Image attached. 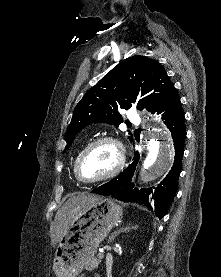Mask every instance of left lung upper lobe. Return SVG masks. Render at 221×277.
I'll return each instance as SVG.
<instances>
[{
  "label": "left lung upper lobe",
  "instance_id": "left-lung-upper-lobe-1",
  "mask_svg": "<svg viewBox=\"0 0 221 277\" xmlns=\"http://www.w3.org/2000/svg\"><path fill=\"white\" fill-rule=\"evenodd\" d=\"M174 89L162 66L153 59L135 55L123 60L86 92L74 109L66 131V151L77 132L92 123L119 126L123 122L119 109H129L139 95L137 109L154 113ZM132 141V137H129Z\"/></svg>",
  "mask_w": 221,
  "mask_h": 277
}]
</instances>
